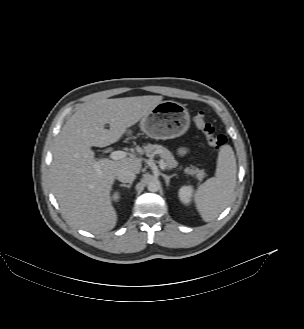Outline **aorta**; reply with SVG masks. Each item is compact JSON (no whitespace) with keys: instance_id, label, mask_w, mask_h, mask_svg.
<instances>
[{"instance_id":"762f6f07","label":"aorta","mask_w":304,"mask_h":329,"mask_svg":"<svg viewBox=\"0 0 304 329\" xmlns=\"http://www.w3.org/2000/svg\"><path fill=\"white\" fill-rule=\"evenodd\" d=\"M147 189L150 192H157L160 189V182L157 179H152L147 183Z\"/></svg>"}]
</instances>
